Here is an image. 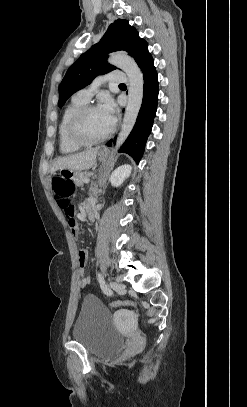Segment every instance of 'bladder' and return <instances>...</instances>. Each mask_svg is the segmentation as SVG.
<instances>
[{
    "instance_id": "bladder-1",
    "label": "bladder",
    "mask_w": 247,
    "mask_h": 407,
    "mask_svg": "<svg viewBox=\"0 0 247 407\" xmlns=\"http://www.w3.org/2000/svg\"><path fill=\"white\" fill-rule=\"evenodd\" d=\"M73 340L98 357H111L124 346L125 337L112 322V313L92 295H87L72 331Z\"/></svg>"
}]
</instances>
